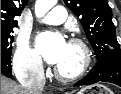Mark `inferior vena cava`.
<instances>
[{
  "label": "inferior vena cava",
  "instance_id": "obj_1",
  "mask_svg": "<svg viewBox=\"0 0 121 94\" xmlns=\"http://www.w3.org/2000/svg\"><path fill=\"white\" fill-rule=\"evenodd\" d=\"M24 94H42L45 86V76L43 67L31 70L30 77L21 81Z\"/></svg>",
  "mask_w": 121,
  "mask_h": 94
}]
</instances>
